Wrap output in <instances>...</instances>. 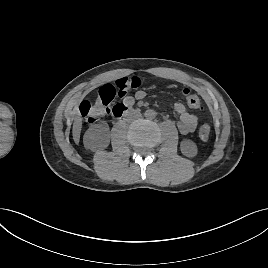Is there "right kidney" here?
<instances>
[{"label":"right kidney","mask_w":268,"mask_h":268,"mask_svg":"<svg viewBox=\"0 0 268 268\" xmlns=\"http://www.w3.org/2000/svg\"><path fill=\"white\" fill-rule=\"evenodd\" d=\"M84 146L93 151L105 149L110 142L109 127L107 123L92 125L84 134Z\"/></svg>","instance_id":"1"}]
</instances>
